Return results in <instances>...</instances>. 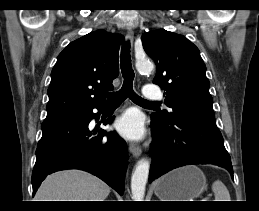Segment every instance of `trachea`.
Listing matches in <instances>:
<instances>
[{
	"label": "trachea",
	"mask_w": 259,
	"mask_h": 211,
	"mask_svg": "<svg viewBox=\"0 0 259 211\" xmlns=\"http://www.w3.org/2000/svg\"><path fill=\"white\" fill-rule=\"evenodd\" d=\"M120 65H121V72L124 78L123 86L119 91L109 93L108 101L113 103H121L127 97H129L130 99H132V101L140 104H159V102L147 101L139 97L133 91L134 71L131 64L129 42H126L123 45L121 56H120Z\"/></svg>",
	"instance_id": "trachea-1"
}]
</instances>
